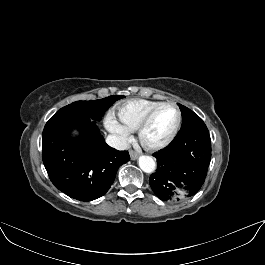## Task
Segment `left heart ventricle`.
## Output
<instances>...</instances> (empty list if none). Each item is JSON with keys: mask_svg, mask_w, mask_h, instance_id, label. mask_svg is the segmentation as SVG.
<instances>
[{"mask_svg": "<svg viewBox=\"0 0 265 265\" xmlns=\"http://www.w3.org/2000/svg\"><path fill=\"white\" fill-rule=\"evenodd\" d=\"M177 120L176 110L172 106L160 108L144 132V140L155 144L164 140L173 129Z\"/></svg>", "mask_w": 265, "mask_h": 265, "instance_id": "left-heart-ventricle-1", "label": "left heart ventricle"}]
</instances>
